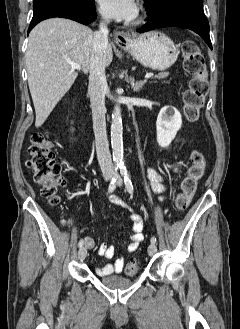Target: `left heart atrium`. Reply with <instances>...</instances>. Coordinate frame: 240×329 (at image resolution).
I'll return each instance as SVG.
<instances>
[{"instance_id":"left-heart-atrium-1","label":"left heart atrium","mask_w":240,"mask_h":329,"mask_svg":"<svg viewBox=\"0 0 240 329\" xmlns=\"http://www.w3.org/2000/svg\"><path fill=\"white\" fill-rule=\"evenodd\" d=\"M101 13L117 21H132L138 14L135 0H98Z\"/></svg>"}]
</instances>
